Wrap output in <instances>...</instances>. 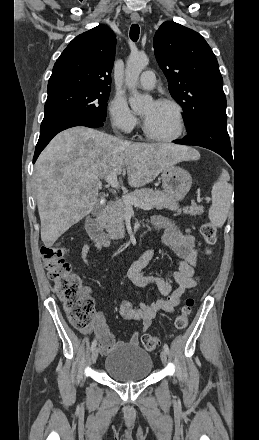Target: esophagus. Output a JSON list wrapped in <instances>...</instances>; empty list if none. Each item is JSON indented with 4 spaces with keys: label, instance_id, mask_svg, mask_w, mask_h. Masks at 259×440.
Instances as JSON below:
<instances>
[{
    "label": "esophagus",
    "instance_id": "34e87169",
    "mask_svg": "<svg viewBox=\"0 0 259 440\" xmlns=\"http://www.w3.org/2000/svg\"><path fill=\"white\" fill-rule=\"evenodd\" d=\"M131 20L133 23H137L140 21V16L138 14H132L131 15Z\"/></svg>",
    "mask_w": 259,
    "mask_h": 440
}]
</instances>
